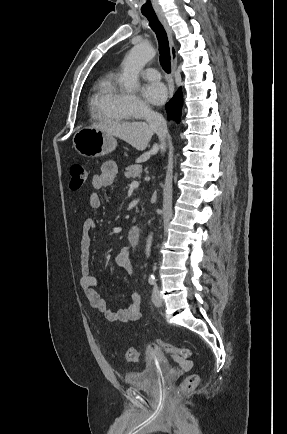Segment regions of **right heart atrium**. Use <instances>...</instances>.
<instances>
[{"mask_svg": "<svg viewBox=\"0 0 287 434\" xmlns=\"http://www.w3.org/2000/svg\"><path fill=\"white\" fill-rule=\"evenodd\" d=\"M120 102L122 108L129 116H139L152 112L148 104L136 94H122Z\"/></svg>", "mask_w": 287, "mask_h": 434, "instance_id": "1", "label": "right heart atrium"}]
</instances>
